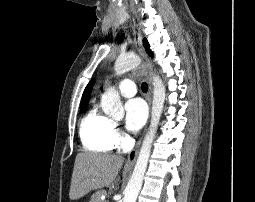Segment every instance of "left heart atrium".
Returning a JSON list of instances; mask_svg holds the SVG:
<instances>
[{
  "instance_id": "39dd6f15",
  "label": "left heart atrium",
  "mask_w": 255,
  "mask_h": 202,
  "mask_svg": "<svg viewBox=\"0 0 255 202\" xmlns=\"http://www.w3.org/2000/svg\"><path fill=\"white\" fill-rule=\"evenodd\" d=\"M125 124L129 131L136 132L145 124L147 107L143 100L135 98L125 104Z\"/></svg>"
}]
</instances>
